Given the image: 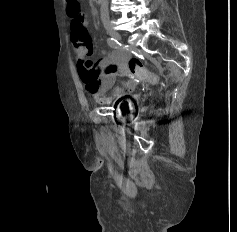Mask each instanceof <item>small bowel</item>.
I'll use <instances>...</instances> for the list:
<instances>
[{"mask_svg":"<svg viewBox=\"0 0 237 232\" xmlns=\"http://www.w3.org/2000/svg\"><path fill=\"white\" fill-rule=\"evenodd\" d=\"M77 30L71 24V42L77 56V70L85 89L92 98L101 104L110 103L114 98H121L131 93L135 88V81L128 79L116 86L111 96L107 91L113 87L117 76H129L127 57L122 52H103L102 58L94 63L91 56L95 51V44L85 28Z\"/></svg>","mask_w":237,"mask_h":232,"instance_id":"c3829d8e","label":"small bowel"}]
</instances>
